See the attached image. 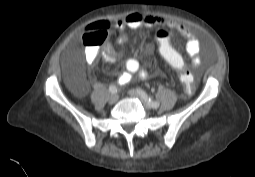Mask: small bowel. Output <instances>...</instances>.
<instances>
[{
    "instance_id": "1",
    "label": "small bowel",
    "mask_w": 255,
    "mask_h": 177,
    "mask_svg": "<svg viewBox=\"0 0 255 177\" xmlns=\"http://www.w3.org/2000/svg\"><path fill=\"white\" fill-rule=\"evenodd\" d=\"M116 28L122 33L117 37V42L123 44L127 40V35L123 33L126 29H143L153 26H164L178 31L186 39V53L192 60L193 67H197L199 63L200 42L193 34L192 30L184 25H181L173 20L167 19L163 16H153L150 14L131 13L116 21ZM118 52L107 44L103 51V58L109 62L115 60ZM87 61L94 63L98 58V51L96 48H89L86 53ZM134 77L144 80L148 77L145 70L141 68V64L136 58H128L125 62L124 70L118 75L117 83L125 85L129 83Z\"/></svg>"
}]
</instances>
